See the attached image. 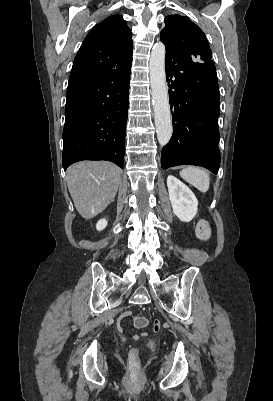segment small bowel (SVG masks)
Listing matches in <instances>:
<instances>
[{
    "mask_svg": "<svg viewBox=\"0 0 273 401\" xmlns=\"http://www.w3.org/2000/svg\"><path fill=\"white\" fill-rule=\"evenodd\" d=\"M123 316H124V318L125 319H132L133 318V316H134V313H133V311L132 310H125L124 311V313H123ZM121 320H122V317H119V319H117L116 320V323L117 324H120L121 323ZM134 321H148L145 317H143V316H137L136 318H135V320ZM154 324H153V329H152V332L154 333V334H160L161 333V319L160 318H155L154 319ZM120 326V325H119ZM118 332L120 333V334H123L124 332H125V329L123 328V327H120L119 329H118ZM140 337L141 338H146L147 337V332L146 331H141L140 332Z\"/></svg>",
    "mask_w": 273,
    "mask_h": 401,
    "instance_id": "1",
    "label": "small bowel"
}]
</instances>
